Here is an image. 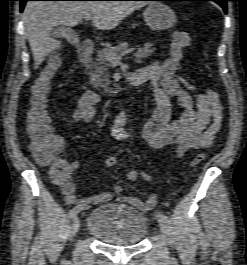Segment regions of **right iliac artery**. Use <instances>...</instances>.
Listing matches in <instances>:
<instances>
[{
	"instance_id": "1",
	"label": "right iliac artery",
	"mask_w": 247,
	"mask_h": 265,
	"mask_svg": "<svg viewBox=\"0 0 247 265\" xmlns=\"http://www.w3.org/2000/svg\"><path fill=\"white\" fill-rule=\"evenodd\" d=\"M90 208V205L89 204H81V205H78L76 207H73L70 212H69V218H73L77 215L78 212L82 211V210H85V209H89Z\"/></svg>"
}]
</instances>
